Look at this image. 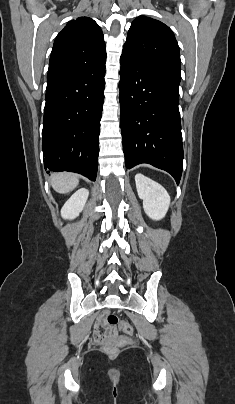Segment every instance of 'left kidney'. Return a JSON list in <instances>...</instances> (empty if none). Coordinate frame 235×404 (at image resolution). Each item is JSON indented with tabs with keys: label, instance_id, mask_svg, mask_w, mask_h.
<instances>
[{
	"label": "left kidney",
	"instance_id": "obj_1",
	"mask_svg": "<svg viewBox=\"0 0 235 404\" xmlns=\"http://www.w3.org/2000/svg\"><path fill=\"white\" fill-rule=\"evenodd\" d=\"M138 196L143 200L145 213L153 220H160L165 217L170 197L167 191L157 182L142 175H135Z\"/></svg>",
	"mask_w": 235,
	"mask_h": 404
}]
</instances>
